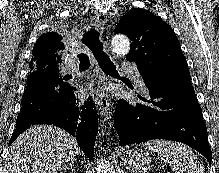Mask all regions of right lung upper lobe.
Segmentation results:
<instances>
[{"instance_id":"1","label":"right lung upper lobe","mask_w":219,"mask_h":173,"mask_svg":"<svg viewBox=\"0 0 219 173\" xmlns=\"http://www.w3.org/2000/svg\"><path fill=\"white\" fill-rule=\"evenodd\" d=\"M64 49L62 36L58 33L43 34L34 45L29 67L61 63L65 53Z\"/></svg>"}]
</instances>
